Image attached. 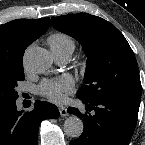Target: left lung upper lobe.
<instances>
[{
    "instance_id": "1",
    "label": "left lung upper lobe",
    "mask_w": 145,
    "mask_h": 145,
    "mask_svg": "<svg viewBox=\"0 0 145 145\" xmlns=\"http://www.w3.org/2000/svg\"><path fill=\"white\" fill-rule=\"evenodd\" d=\"M52 25L78 40L87 55L86 85L78 90V97L96 101L116 95L141 94L135 55L114 25L87 13L52 17Z\"/></svg>"
}]
</instances>
